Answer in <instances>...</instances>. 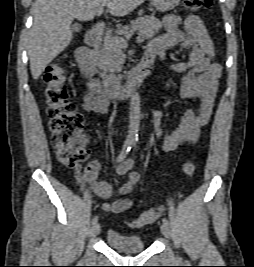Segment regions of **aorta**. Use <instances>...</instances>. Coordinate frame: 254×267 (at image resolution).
Returning a JSON list of instances; mask_svg holds the SVG:
<instances>
[{
  "mask_svg": "<svg viewBox=\"0 0 254 267\" xmlns=\"http://www.w3.org/2000/svg\"><path fill=\"white\" fill-rule=\"evenodd\" d=\"M141 101L139 93L134 90L131 95L129 112V134L128 138L132 141L137 140L140 126Z\"/></svg>",
  "mask_w": 254,
  "mask_h": 267,
  "instance_id": "obj_1",
  "label": "aorta"
}]
</instances>
